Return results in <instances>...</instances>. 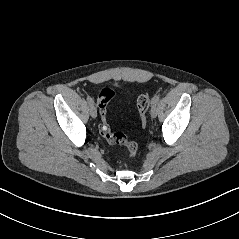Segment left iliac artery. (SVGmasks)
Wrapping results in <instances>:
<instances>
[{
  "instance_id": "44dca946",
  "label": "left iliac artery",
  "mask_w": 239,
  "mask_h": 239,
  "mask_svg": "<svg viewBox=\"0 0 239 239\" xmlns=\"http://www.w3.org/2000/svg\"><path fill=\"white\" fill-rule=\"evenodd\" d=\"M160 100V94L155 95L152 99V104H157Z\"/></svg>"
}]
</instances>
